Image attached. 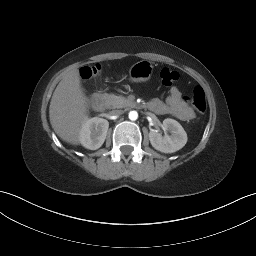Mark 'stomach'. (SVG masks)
I'll list each match as a JSON object with an SVG mask.
<instances>
[{
  "instance_id": "1",
  "label": "stomach",
  "mask_w": 256,
  "mask_h": 256,
  "mask_svg": "<svg viewBox=\"0 0 256 256\" xmlns=\"http://www.w3.org/2000/svg\"><path fill=\"white\" fill-rule=\"evenodd\" d=\"M153 73V66L151 62L142 60L133 64L129 70V77L132 82L148 81Z\"/></svg>"
}]
</instances>
